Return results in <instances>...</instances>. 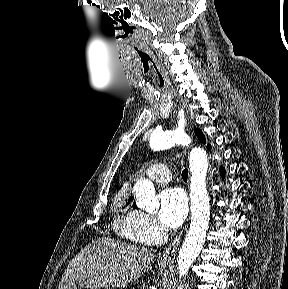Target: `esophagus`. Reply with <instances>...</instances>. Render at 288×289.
<instances>
[{
  "mask_svg": "<svg viewBox=\"0 0 288 289\" xmlns=\"http://www.w3.org/2000/svg\"><path fill=\"white\" fill-rule=\"evenodd\" d=\"M181 236H182V232H180V234L175 237V239L170 244L168 249L165 250V252L163 253V255L161 257V259L163 261H169V260H171L173 258V256L175 255V253H176V251L178 249V246H179V243H180V240H181Z\"/></svg>",
  "mask_w": 288,
  "mask_h": 289,
  "instance_id": "esophagus-1",
  "label": "esophagus"
}]
</instances>
